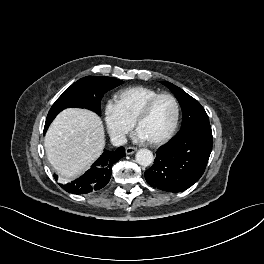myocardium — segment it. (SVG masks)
I'll list each match as a JSON object with an SVG mask.
<instances>
[{
    "label": "myocardium",
    "instance_id": "myocardium-1",
    "mask_svg": "<svg viewBox=\"0 0 264 264\" xmlns=\"http://www.w3.org/2000/svg\"><path fill=\"white\" fill-rule=\"evenodd\" d=\"M162 97H169L172 99V101L174 102L175 105V118H174V122L172 124V127L170 128V130L161 138L155 139V140H148V142L152 145H162L166 142H168L176 133L178 125H179V121H180V104L177 100V98L168 92H164V93H159L155 96H153L151 99H149L146 104L143 106V108L141 109V111L139 112V114L137 115L136 119H135V126L136 129H139L140 124L149 116L151 110L153 109L155 103L161 99Z\"/></svg>",
    "mask_w": 264,
    "mask_h": 264
}]
</instances>
